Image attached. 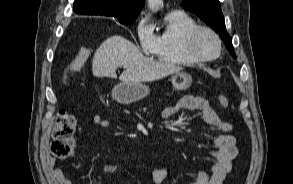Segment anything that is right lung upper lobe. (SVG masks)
<instances>
[{"label": "right lung upper lobe", "mask_w": 293, "mask_h": 184, "mask_svg": "<svg viewBox=\"0 0 293 184\" xmlns=\"http://www.w3.org/2000/svg\"><path fill=\"white\" fill-rule=\"evenodd\" d=\"M145 0H75L74 12L79 15L111 16L118 21L136 19Z\"/></svg>", "instance_id": "right-lung-upper-lobe-1"}]
</instances>
